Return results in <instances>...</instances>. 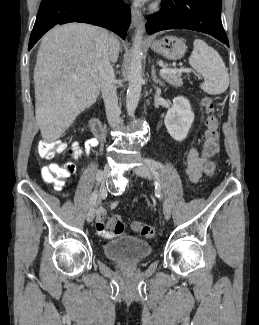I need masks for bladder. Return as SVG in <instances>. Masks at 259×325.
Instances as JSON below:
<instances>
[{"instance_id": "obj_1", "label": "bladder", "mask_w": 259, "mask_h": 325, "mask_svg": "<svg viewBox=\"0 0 259 325\" xmlns=\"http://www.w3.org/2000/svg\"><path fill=\"white\" fill-rule=\"evenodd\" d=\"M103 250L105 256L115 262H140L149 256L152 247L140 238L123 236L107 242Z\"/></svg>"}]
</instances>
